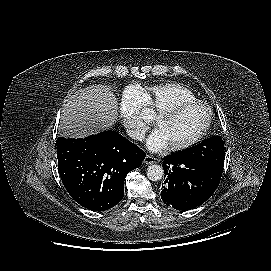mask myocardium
<instances>
[{
  "label": "myocardium",
  "instance_id": "1",
  "mask_svg": "<svg viewBox=\"0 0 271 271\" xmlns=\"http://www.w3.org/2000/svg\"><path fill=\"white\" fill-rule=\"evenodd\" d=\"M193 106H203L207 109V111H208L207 122H206L205 126L203 127V129L195 137H193L189 141H187L183 144H180V145L169 146V149L173 152L187 150V149L193 147L194 145L198 144L207 135V133L212 125L213 118H214L213 110L207 103H205L203 101L191 100V101H185V102H179V103L173 104V105L166 107L156 113L155 121H154L155 125H157L158 120H160L161 118L173 116V115H175V114H177L187 108L193 107Z\"/></svg>",
  "mask_w": 271,
  "mask_h": 271
}]
</instances>
